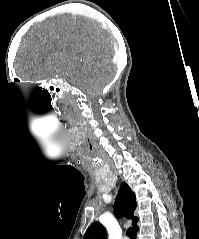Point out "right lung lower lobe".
Returning a JSON list of instances; mask_svg holds the SVG:
<instances>
[{
	"instance_id": "right-lung-lower-lobe-1",
	"label": "right lung lower lobe",
	"mask_w": 199,
	"mask_h": 239,
	"mask_svg": "<svg viewBox=\"0 0 199 239\" xmlns=\"http://www.w3.org/2000/svg\"><path fill=\"white\" fill-rule=\"evenodd\" d=\"M139 230L138 226L134 229V234L136 236L137 231Z\"/></svg>"
}]
</instances>
